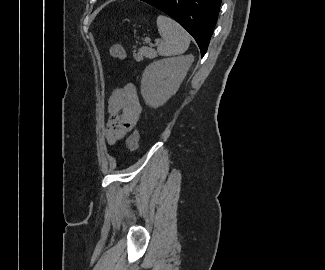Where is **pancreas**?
<instances>
[{
	"label": "pancreas",
	"mask_w": 325,
	"mask_h": 270,
	"mask_svg": "<svg viewBox=\"0 0 325 270\" xmlns=\"http://www.w3.org/2000/svg\"><path fill=\"white\" fill-rule=\"evenodd\" d=\"M157 56L156 51L149 47H142L136 51H133V57L136 61H142L144 58L154 59Z\"/></svg>",
	"instance_id": "pancreas-1"
}]
</instances>
